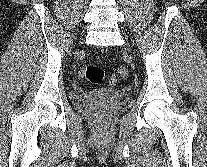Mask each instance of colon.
Masks as SVG:
<instances>
[{
	"instance_id": "5ec220e1",
	"label": "colon",
	"mask_w": 207,
	"mask_h": 167,
	"mask_svg": "<svg viewBox=\"0 0 207 167\" xmlns=\"http://www.w3.org/2000/svg\"><path fill=\"white\" fill-rule=\"evenodd\" d=\"M128 75V70L124 67H121L117 72L109 78V85L115 86L119 79L125 78ZM79 76L86 79L91 83H100L104 77V71L101 67L88 64L80 69Z\"/></svg>"
}]
</instances>
